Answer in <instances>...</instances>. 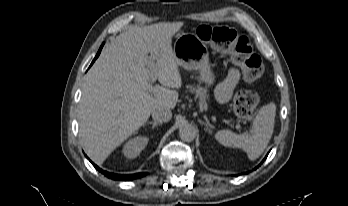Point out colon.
Wrapping results in <instances>:
<instances>
[{
  "instance_id": "obj_1",
  "label": "colon",
  "mask_w": 348,
  "mask_h": 206,
  "mask_svg": "<svg viewBox=\"0 0 348 206\" xmlns=\"http://www.w3.org/2000/svg\"><path fill=\"white\" fill-rule=\"evenodd\" d=\"M198 38L211 43L222 53L231 56L241 68L243 78L252 82L261 77L264 66L261 57L253 51L248 37L226 26L201 25L197 28ZM258 96L251 90L239 89L234 96L233 107L237 116L251 117L257 110Z\"/></svg>"
}]
</instances>
